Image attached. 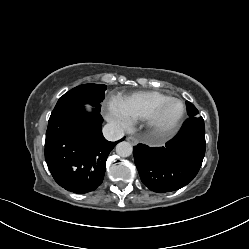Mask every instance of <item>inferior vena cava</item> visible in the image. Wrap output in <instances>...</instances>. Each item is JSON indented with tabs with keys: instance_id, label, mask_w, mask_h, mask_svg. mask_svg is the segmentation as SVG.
<instances>
[{
	"instance_id": "obj_1",
	"label": "inferior vena cava",
	"mask_w": 249,
	"mask_h": 249,
	"mask_svg": "<svg viewBox=\"0 0 249 249\" xmlns=\"http://www.w3.org/2000/svg\"><path fill=\"white\" fill-rule=\"evenodd\" d=\"M103 135L108 141H117L124 136V130L115 124H106L103 127Z\"/></svg>"
}]
</instances>
